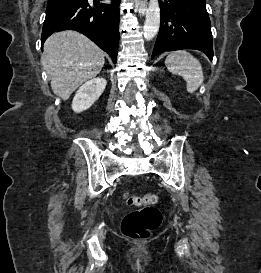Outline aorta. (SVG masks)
I'll list each match as a JSON object with an SVG mask.
<instances>
[{
    "mask_svg": "<svg viewBox=\"0 0 261 273\" xmlns=\"http://www.w3.org/2000/svg\"><path fill=\"white\" fill-rule=\"evenodd\" d=\"M160 26V7L158 0H150L146 12V19L143 27L144 37L151 40L157 34Z\"/></svg>",
    "mask_w": 261,
    "mask_h": 273,
    "instance_id": "obj_1",
    "label": "aorta"
}]
</instances>
